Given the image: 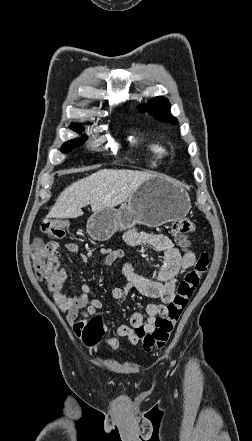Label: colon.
Masks as SVG:
<instances>
[{
    "mask_svg": "<svg viewBox=\"0 0 252 441\" xmlns=\"http://www.w3.org/2000/svg\"><path fill=\"white\" fill-rule=\"evenodd\" d=\"M42 227L46 234L56 240L64 236L68 223L62 219H49L43 223ZM194 231L195 224L188 218L176 221L171 227V232L176 240L184 246L189 245V238ZM57 252L58 243L56 241L36 243L32 248V261L36 274L46 282L58 281ZM209 263L208 254L202 253L194 267L178 284L172 301L166 307V314L156 318L151 332H146L142 327L136 329V336L145 351L161 349L166 345L182 311L187 306L203 275L207 272ZM105 330L106 325L103 319L99 316L92 317L84 326L81 337L87 346H93L100 341Z\"/></svg>",
    "mask_w": 252,
    "mask_h": 441,
    "instance_id": "obj_1",
    "label": "colon"
}]
</instances>
